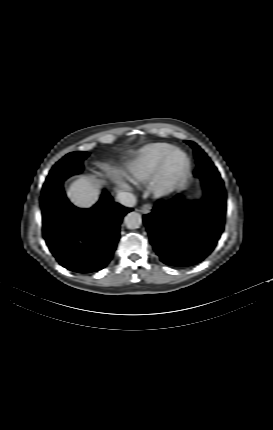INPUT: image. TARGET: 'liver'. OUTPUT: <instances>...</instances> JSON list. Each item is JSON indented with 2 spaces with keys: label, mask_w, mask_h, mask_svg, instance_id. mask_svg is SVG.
Returning a JSON list of instances; mask_svg holds the SVG:
<instances>
[{
  "label": "liver",
  "mask_w": 273,
  "mask_h": 430,
  "mask_svg": "<svg viewBox=\"0 0 273 430\" xmlns=\"http://www.w3.org/2000/svg\"><path fill=\"white\" fill-rule=\"evenodd\" d=\"M100 186L88 177H80L73 181L66 191L70 202L80 209H90L99 200Z\"/></svg>",
  "instance_id": "1"
}]
</instances>
